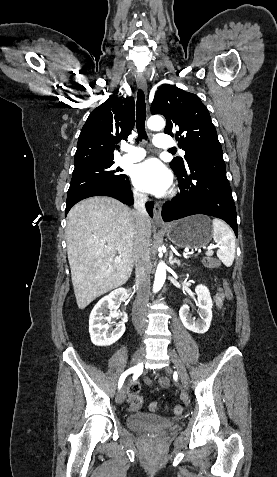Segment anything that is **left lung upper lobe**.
<instances>
[{"mask_svg":"<svg viewBox=\"0 0 277 477\" xmlns=\"http://www.w3.org/2000/svg\"><path fill=\"white\" fill-rule=\"evenodd\" d=\"M151 113L166 118L164 133L175 136L186 152V162L192 155L222 150L208 109L195 94L165 84L154 97ZM170 166L174 170L185 169L182 158H174Z\"/></svg>","mask_w":277,"mask_h":477,"instance_id":"1","label":"left lung upper lobe"}]
</instances>
